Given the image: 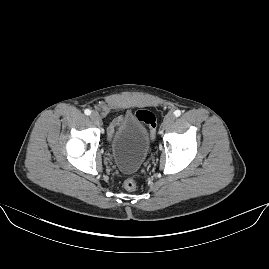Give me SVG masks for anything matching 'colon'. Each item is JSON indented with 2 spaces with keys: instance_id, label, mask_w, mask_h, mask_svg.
Returning a JSON list of instances; mask_svg holds the SVG:
<instances>
[{
  "instance_id": "1",
  "label": "colon",
  "mask_w": 269,
  "mask_h": 269,
  "mask_svg": "<svg viewBox=\"0 0 269 269\" xmlns=\"http://www.w3.org/2000/svg\"><path fill=\"white\" fill-rule=\"evenodd\" d=\"M135 118L137 121L143 123L150 133L151 138L155 137V132L157 129V117L156 115L147 108H139L135 112ZM124 189L131 192L137 187V182L133 178H127L123 183Z\"/></svg>"
}]
</instances>
